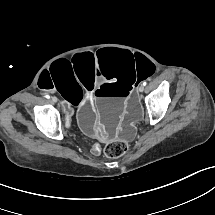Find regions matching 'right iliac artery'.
Returning <instances> with one entry per match:
<instances>
[{"label":"right iliac artery","mask_w":215,"mask_h":215,"mask_svg":"<svg viewBox=\"0 0 215 215\" xmlns=\"http://www.w3.org/2000/svg\"><path fill=\"white\" fill-rule=\"evenodd\" d=\"M45 97H46L47 99H49V98H50V96H49L48 94H46V95H45Z\"/></svg>","instance_id":"right-iliac-artery-1"}]
</instances>
